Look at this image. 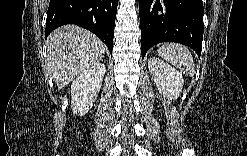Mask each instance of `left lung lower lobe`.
I'll return each instance as SVG.
<instances>
[{"label": "left lung lower lobe", "instance_id": "1", "mask_svg": "<svg viewBox=\"0 0 247 156\" xmlns=\"http://www.w3.org/2000/svg\"><path fill=\"white\" fill-rule=\"evenodd\" d=\"M202 0H139L141 54L160 42H178L200 57L203 40Z\"/></svg>", "mask_w": 247, "mask_h": 156}]
</instances>
